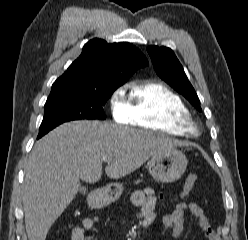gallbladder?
Wrapping results in <instances>:
<instances>
[{
	"mask_svg": "<svg viewBox=\"0 0 248 240\" xmlns=\"http://www.w3.org/2000/svg\"><path fill=\"white\" fill-rule=\"evenodd\" d=\"M80 192H81V193H85V192H86V188H85V187H81V188H80Z\"/></svg>",
	"mask_w": 248,
	"mask_h": 240,
	"instance_id": "gallbladder-1",
	"label": "gallbladder"
}]
</instances>
